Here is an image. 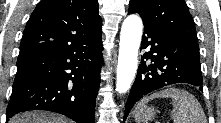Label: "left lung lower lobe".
Listing matches in <instances>:
<instances>
[{"mask_svg": "<svg viewBox=\"0 0 221 123\" xmlns=\"http://www.w3.org/2000/svg\"><path fill=\"white\" fill-rule=\"evenodd\" d=\"M146 48L149 51L141 56L137 76L126 103L124 121L138 100L163 86L188 83L202 90L198 44L144 24L141 49Z\"/></svg>", "mask_w": 221, "mask_h": 123, "instance_id": "left-lung-lower-lobe-1", "label": "left lung lower lobe"}]
</instances>
